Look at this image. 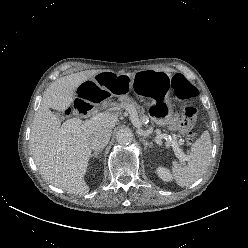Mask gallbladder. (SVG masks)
I'll use <instances>...</instances> for the list:
<instances>
[{"instance_id": "bac80fb5", "label": "gallbladder", "mask_w": 248, "mask_h": 248, "mask_svg": "<svg viewBox=\"0 0 248 248\" xmlns=\"http://www.w3.org/2000/svg\"><path fill=\"white\" fill-rule=\"evenodd\" d=\"M56 116L59 118V119H63V116H61L60 114L56 113Z\"/></svg>"}]
</instances>
